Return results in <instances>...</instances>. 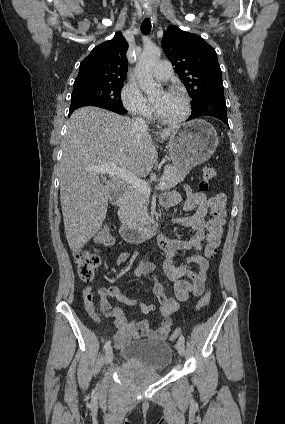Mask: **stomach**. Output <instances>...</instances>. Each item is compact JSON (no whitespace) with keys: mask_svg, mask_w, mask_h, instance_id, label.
Wrapping results in <instances>:
<instances>
[{"mask_svg":"<svg viewBox=\"0 0 285 424\" xmlns=\"http://www.w3.org/2000/svg\"><path fill=\"white\" fill-rule=\"evenodd\" d=\"M218 145L217 132L208 122L196 119L183 124L169 138L170 158L181 176L207 161Z\"/></svg>","mask_w":285,"mask_h":424,"instance_id":"stomach-1","label":"stomach"}]
</instances>
